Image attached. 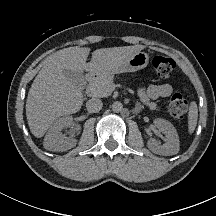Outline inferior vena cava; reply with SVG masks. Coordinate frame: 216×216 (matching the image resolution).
Returning a JSON list of instances; mask_svg holds the SVG:
<instances>
[{
    "label": "inferior vena cava",
    "instance_id": "inferior-vena-cava-1",
    "mask_svg": "<svg viewBox=\"0 0 216 216\" xmlns=\"http://www.w3.org/2000/svg\"><path fill=\"white\" fill-rule=\"evenodd\" d=\"M102 107H103V103L98 98H92L88 100L86 103L87 111L90 113H97L102 109Z\"/></svg>",
    "mask_w": 216,
    "mask_h": 216
}]
</instances>
